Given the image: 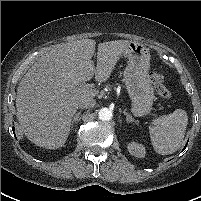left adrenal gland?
<instances>
[{
  "label": "left adrenal gland",
  "mask_w": 201,
  "mask_h": 201,
  "mask_svg": "<svg viewBox=\"0 0 201 201\" xmlns=\"http://www.w3.org/2000/svg\"><path fill=\"white\" fill-rule=\"evenodd\" d=\"M123 113H124V115H126V120L128 123L135 122V124H137V125L139 124V122L136 121L134 118H132V116L129 113H127L126 110H124Z\"/></svg>",
  "instance_id": "1"
}]
</instances>
